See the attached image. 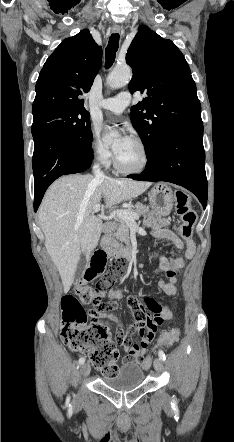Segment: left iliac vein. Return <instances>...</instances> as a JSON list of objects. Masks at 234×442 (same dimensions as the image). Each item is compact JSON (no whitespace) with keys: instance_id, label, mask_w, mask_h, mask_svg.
<instances>
[{"instance_id":"obj_1","label":"left iliac vein","mask_w":234,"mask_h":442,"mask_svg":"<svg viewBox=\"0 0 234 442\" xmlns=\"http://www.w3.org/2000/svg\"><path fill=\"white\" fill-rule=\"evenodd\" d=\"M154 368H155L157 373H159V374L162 373V371H163V362H162V360H160V358H156L154 360ZM167 397H168L167 394H165V398H167Z\"/></svg>"}]
</instances>
